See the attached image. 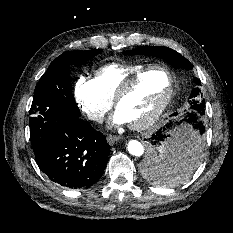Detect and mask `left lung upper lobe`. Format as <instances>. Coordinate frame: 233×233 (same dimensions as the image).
Masks as SVG:
<instances>
[{
	"mask_svg": "<svg viewBox=\"0 0 233 233\" xmlns=\"http://www.w3.org/2000/svg\"><path fill=\"white\" fill-rule=\"evenodd\" d=\"M123 53L125 55L146 54L163 58L174 68L182 67L186 70H191L193 67V65L185 57L168 47L142 46L133 50L124 51ZM194 82L196 84V87L191 91L189 95L191 113H189L188 116H186L187 119H183L181 122H196L198 120H201L202 116L205 114V101L202 100L200 89L198 87L201 82L197 78L194 79ZM176 115V113L172 114V116Z\"/></svg>",
	"mask_w": 233,
	"mask_h": 233,
	"instance_id": "5c2ea615",
	"label": "left lung upper lobe"
}]
</instances>
